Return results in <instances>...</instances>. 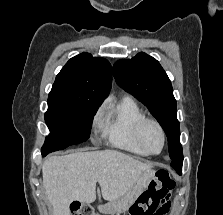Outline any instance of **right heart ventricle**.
<instances>
[{
    "instance_id": "obj_1",
    "label": "right heart ventricle",
    "mask_w": 223,
    "mask_h": 215,
    "mask_svg": "<svg viewBox=\"0 0 223 215\" xmlns=\"http://www.w3.org/2000/svg\"><path fill=\"white\" fill-rule=\"evenodd\" d=\"M143 117L138 104L130 97H123L116 105L105 109L99 131L112 146L142 156L136 140V127Z\"/></svg>"
}]
</instances>
